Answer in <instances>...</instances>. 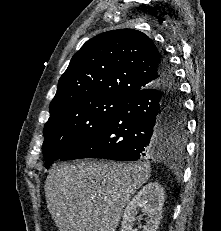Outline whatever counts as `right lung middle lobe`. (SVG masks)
Masks as SVG:
<instances>
[{
	"instance_id": "obj_1",
	"label": "right lung middle lobe",
	"mask_w": 221,
	"mask_h": 231,
	"mask_svg": "<svg viewBox=\"0 0 221 231\" xmlns=\"http://www.w3.org/2000/svg\"><path fill=\"white\" fill-rule=\"evenodd\" d=\"M126 99L104 95L90 96L71 102L50 115L44 126L43 155L47 168L76 148L120 108ZM186 118L182 101L169 104L165 110L163 135L172 146L182 149Z\"/></svg>"
}]
</instances>
